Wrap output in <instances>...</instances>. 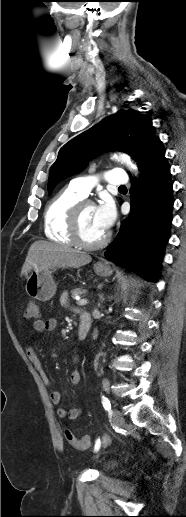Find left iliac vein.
Here are the masks:
<instances>
[{"label": "left iliac vein", "mask_w": 186, "mask_h": 517, "mask_svg": "<svg viewBox=\"0 0 186 517\" xmlns=\"http://www.w3.org/2000/svg\"><path fill=\"white\" fill-rule=\"evenodd\" d=\"M113 421L116 426L120 427L124 424L122 413L118 409L113 410Z\"/></svg>", "instance_id": "1"}]
</instances>
